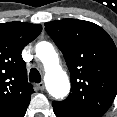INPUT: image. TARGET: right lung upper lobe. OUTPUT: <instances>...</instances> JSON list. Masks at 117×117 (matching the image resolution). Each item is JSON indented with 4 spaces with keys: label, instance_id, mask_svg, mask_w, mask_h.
Wrapping results in <instances>:
<instances>
[{
    "label": "right lung upper lobe",
    "instance_id": "cb5924a9",
    "mask_svg": "<svg viewBox=\"0 0 117 117\" xmlns=\"http://www.w3.org/2000/svg\"><path fill=\"white\" fill-rule=\"evenodd\" d=\"M42 31L40 24H0V117H24L34 92L21 52Z\"/></svg>",
    "mask_w": 117,
    "mask_h": 117
}]
</instances>
